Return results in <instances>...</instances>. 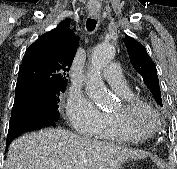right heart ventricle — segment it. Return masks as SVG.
<instances>
[{
    "label": "right heart ventricle",
    "instance_id": "obj_1",
    "mask_svg": "<svg viewBox=\"0 0 177 169\" xmlns=\"http://www.w3.org/2000/svg\"><path fill=\"white\" fill-rule=\"evenodd\" d=\"M121 98L133 97V92L130 89L125 91H116ZM135 138L131 139L123 129L120 122L113 115V113H102V120L99 126V131L95 134V138L109 140V141H133L141 142L150 136H141L134 134Z\"/></svg>",
    "mask_w": 177,
    "mask_h": 169
}]
</instances>
